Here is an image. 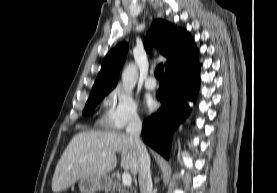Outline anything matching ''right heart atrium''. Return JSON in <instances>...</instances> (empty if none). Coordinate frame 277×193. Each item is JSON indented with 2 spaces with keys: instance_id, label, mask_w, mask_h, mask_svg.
I'll list each match as a JSON object with an SVG mask.
<instances>
[{
  "instance_id": "d8ad5b80",
  "label": "right heart atrium",
  "mask_w": 277,
  "mask_h": 193,
  "mask_svg": "<svg viewBox=\"0 0 277 193\" xmlns=\"http://www.w3.org/2000/svg\"><path fill=\"white\" fill-rule=\"evenodd\" d=\"M110 107L104 117V124L113 130H123L128 126L141 123L135 100L123 90L117 88L110 93Z\"/></svg>"
}]
</instances>
